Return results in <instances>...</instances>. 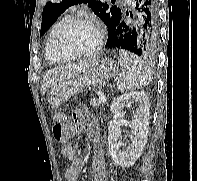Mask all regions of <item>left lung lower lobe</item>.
<instances>
[{
	"label": "left lung lower lobe",
	"mask_w": 197,
	"mask_h": 181,
	"mask_svg": "<svg viewBox=\"0 0 197 181\" xmlns=\"http://www.w3.org/2000/svg\"><path fill=\"white\" fill-rule=\"evenodd\" d=\"M132 23L121 16L108 26V49H123L142 57H153L158 46V0H135Z\"/></svg>",
	"instance_id": "obj_1"
}]
</instances>
